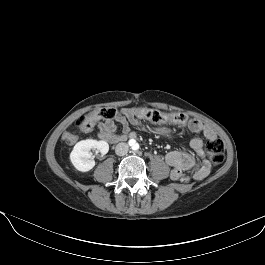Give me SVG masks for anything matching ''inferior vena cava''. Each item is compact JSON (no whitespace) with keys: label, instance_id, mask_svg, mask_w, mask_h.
I'll use <instances>...</instances> for the list:
<instances>
[{"label":"inferior vena cava","instance_id":"obj_1","mask_svg":"<svg viewBox=\"0 0 265 265\" xmlns=\"http://www.w3.org/2000/svg\"><path fill=\"white\" fill-rule=\"evenodd\" d=\"M129 150V146L127 143H119L117 144L116 148H115V153L118 156H124L128 153Z\"/></svg>","mask_w":265,"mask_h":265}]
</instances>
